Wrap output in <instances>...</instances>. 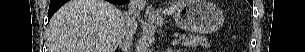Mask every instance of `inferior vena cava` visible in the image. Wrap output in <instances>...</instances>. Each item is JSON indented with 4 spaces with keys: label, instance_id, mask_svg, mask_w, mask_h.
<instances>
[{
    "label": "inferior vena cava",
    "instance_id": "obj_1",
    "mask_svg": "<svg viewBox=\"0 0 305 52\" xmlns=\"http://www.w3.org/2000/svg\"><path fill=\"white\" fill-rule=\"evenodd\" d=\"M146 0H130L128 9L124 13L125 27L119 39V46L124 52H129L132 46L133 34L137 27V17L144 9Z\"/></svg>",
    "mask_w": 305,
    "mask_h": 52
}]
</instances>
